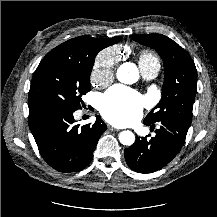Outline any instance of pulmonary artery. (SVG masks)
<instances>
[{
	"label": "pulmonary artery",
	"mask_w": 217,
	"mask_h": 217,
	"mask_svg": "<svg viewBox=\"0 0 217 217\" xmlns=\"http://www.w3.org/2000/svg\"><path fill=\"white\" fill-rule=\"evenodd\" d=\"M140 70L144 78L153 79L158 75L160 65L159 63H151L149 65L141 66Z\"/></svg>",
	"instance_id": "pulmonary-artery-1"
}]
</instances>
